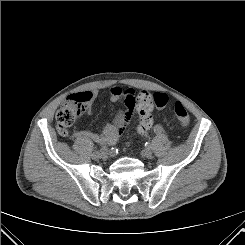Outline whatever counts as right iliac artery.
<instances>
[{"mask_svg": "<svg viewBox=\"0 0 245 245\" xmlns=\"http://www.w3.org/2000/svg\"><path fill=\"white\" fill-rule=\"evenodd\" d=\"M108 151H109L108 148H106V147L104 148V147H103V148L100 149L99 152H100V154H102L103 156L106 157V156H108V154H109Z\"/></svg>", "mask_w": 245, "mask_h": 245, "instance_id": "right-iliac-artery-1", "label": "right iliac artery"}]
</instances>
